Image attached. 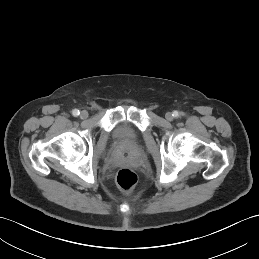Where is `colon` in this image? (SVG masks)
Returning a JSON list of instances; mask_svg holds the SVG:
<instances>
[{"instance_id": "1", "label": "colon", "mask_w": 259, "mask_h": 259, "mask_svg": "<svg viewBox=\"0 0 259 259\" xmlns=\"http://www.w3.org/2000/svg\"><path fill=\"white\" fill-rule=\"evenodd\" d=\"M116 182L122 191L129 192L135 187L137 176L132 170L123 168L119 170L116 177Z\"/></svg>"}]
</instances>
